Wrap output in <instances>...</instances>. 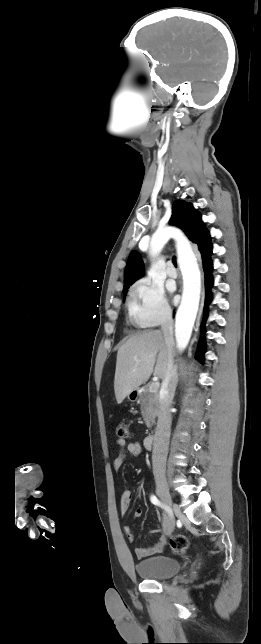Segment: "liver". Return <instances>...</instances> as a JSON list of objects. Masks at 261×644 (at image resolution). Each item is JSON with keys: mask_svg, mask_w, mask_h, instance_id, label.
I'll return each mask as SVG.
<instances>
[{"mask_svg": "<svg viewBox=\"0 0 261 644\" xmlns=\"http://www.w3.org/2000/svg\"><path fill=\"white\" fill-rule=\"evenodd\" d=\"M169 354L170 348L159 330L143 331L130 337L117 352L114 379L117 403H122L125 397L145 383L152 373L164 379Z\"/></svg>", "mask_w": 261, "mask_h": 644, "instance_id": "obj_1", "label": "liver"}]
</instances>
